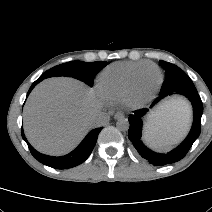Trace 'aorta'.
<instances>
[{"instance_id":"762f6f07","label":"aorta","mask_w":212,"mask_h":212,"mask_svg":"<svg viewBox=\"0 0 212 212\" xmlns=\"http://www.w3.org/2000/svg\"><path fill=\"white\" fill-rule=\"evenodd\" d=\"M129 121L127 118H119L117 123H116V127L120 130V131H127L129 129Z\"/></svg>"}]
</instances>
